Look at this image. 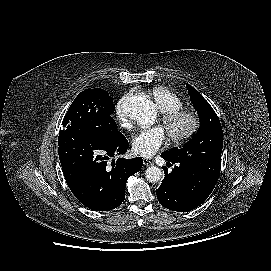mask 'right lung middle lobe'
<instances>
[{
	"label": "right lung middle lobe",
	"instance_id": "1",
	"mask_svg": "<svg viewBox=\"0 0 271 271\" xmlns=\"http://www.w3.org/2000/svg\"><path fill=\"white\" fill-rule=\"evenodd\" d=\"M113 98L100 88L79 93L69 107L62 125L63 130H78L103 139L113 138L119 131L112 118Z\"/></svg>",
	"mask_w": 271,
	"mask_h": 271
}]
</instances>
